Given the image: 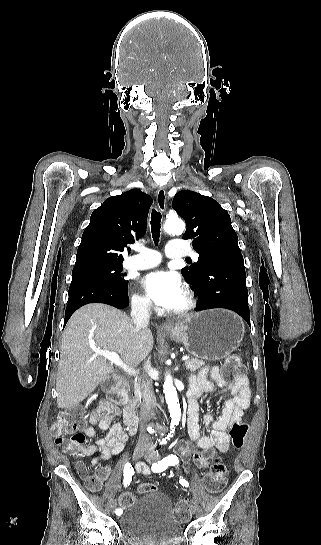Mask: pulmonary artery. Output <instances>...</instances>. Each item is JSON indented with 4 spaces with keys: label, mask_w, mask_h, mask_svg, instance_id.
Segmentation results:
<instances>
[{
    "label": "pulmonary artery",
    "mask_w": 321,
    "mask_h": 545,
    "mask_svg": "<svg viewBox=\"0 0 321 545\" xmlns=\"http://www.w3.org/2000/svg\"><path fill=\"white\" fill-rule=\"evenodd\" d=\"M168 250L170 251L168 257L170 261H192L194 259V252L191 248H187L184 241H170L168 243ZM161 262L159 253L157 250L145 248L142 252V259H126L123 262L125 269L133 270H146L157 266Z\"/></svg>",
    "instance_id": "e3ab8cb5"
}]
</instances>
